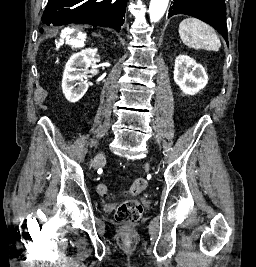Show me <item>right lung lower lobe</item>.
<instances>
[{"label":"right lung lower lobe","mask_w":256,"mask_h":267,"mask_svg":"<svg viewBox=\"0 0 256 267\" xmlns=\"http://www.w3.org/2000/svg\"><path fill=\"white\" fill-rule=\"evenodd\" d=\"M128 0H48L42 16L46 26L70 23L112 27L120 31ZM43 32V29H40Z\"/></svg>","instance_id":"right-lung-lower-lobe-1"}]
</instances>
